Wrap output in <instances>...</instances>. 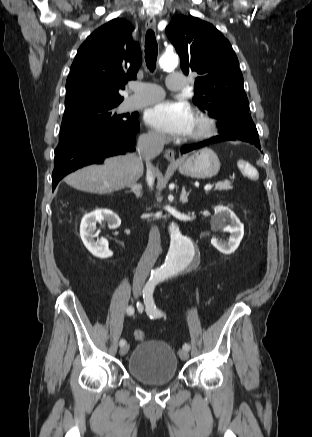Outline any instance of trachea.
I'll list each match as a JSON object with an SVG mask.
<instances>
[{
	"label": "trachea",
	"mask_w": 312,
	"mask_h": 437,
	"mask_svg": "<svg viewBox=\"0 0 312 437\" xmlns=\"http://www.w3.org/2000/svg\"><path fill=\"white\" fill-rule=\"evenodd\" d=\"M158 45L153 30L149 29L145 37V61L151 72L156 66Z\"/></svg>",
	"instance_id": "1"
}]
</instances>
